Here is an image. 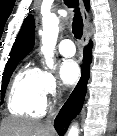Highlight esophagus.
Returning a JSON list of instances; mask_svg holds the SVG:
<instances>
[{
	"instance_id": "1",
	"label": "esophagus",
	"mask_w": 117,
	"mask_h": 136,
	"mask_svg": "<svg viewBox=\"0 0 117 136\" xmlns=\"http://www.w3.org/2000/svg\"><path fill=\"white\" fill-rule=\"evenodd\" d=\"M80 5H81L82 18L84 22V34H83L82 41H83V44L86 45L90 37V16H89V13L86 11L82 0H80Z\"/></svg>"
}]
</instances>
